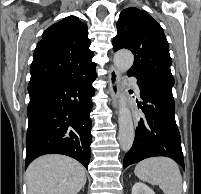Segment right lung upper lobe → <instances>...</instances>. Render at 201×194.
<instances>
[{
  "label": "right lung upper lobe",
  "mask_w": 201,
  "mask_h": 194,
  "mask_svg": "<svg viewBox=\"0 0 201 194\" xmlns=\"http://www.w3.org/2000/svg\"><path fill=\"white\" fill-rule=\"evenodd\" d=\"M87 25L69 16L50 26L34 51L30 82L71 80L84 76L96 67L91 61Z\"/></svg>",
  "instance_id": "obj_1"
}]
</instances>
